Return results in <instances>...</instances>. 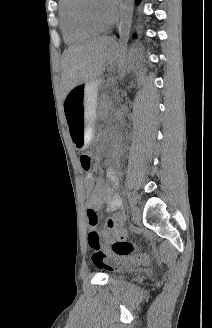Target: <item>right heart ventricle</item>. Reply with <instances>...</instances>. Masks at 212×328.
I'll list each match as a JSON object with an SVG mask.
<instances>
[{
  "instance_id": "right-heart-ventricle-1",
  "label": "right heart ventricle",
  "mask_w": 212,
  "mask_h": 328,
  "mask_svg": "<svg viewBox=\"0 0 212 328\" xmlns=\"http://www.w3.org/2000/svg\"><path fill=\"white\" fill-rule=\"evenodd\" d=\"M77 4L78 0H59L60 25L64 40L69 44L84 41L99 32L79 23L75 15Z\"/></svg>"
}]
</instances>
